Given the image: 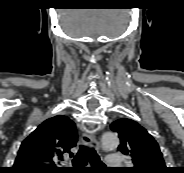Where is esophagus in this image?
Instances as JSON below:
<instances>
[{
	"label": "esophagus",
	"instance_id": "esophagus-1",
	"mask_svg": "<svg viewBox=\"0 0 184 173\" xmlns=\"http://www.w3.org/2000/svg\"><path fill=\"white\" fill-rule=\"evenodd\" d=\"M82 144L87 147L98 148L99 143L93 134L84 133L81 137Z\"/></svg>",
	"mask_w": 184,
	"mask_h": 173
}]
</instances>
